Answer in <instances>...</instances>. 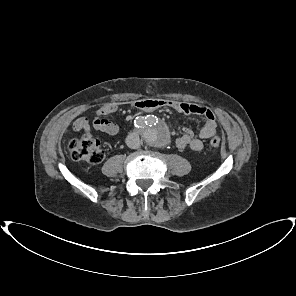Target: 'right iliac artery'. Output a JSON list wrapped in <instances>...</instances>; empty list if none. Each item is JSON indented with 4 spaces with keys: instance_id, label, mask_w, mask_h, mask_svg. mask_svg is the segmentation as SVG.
<instances>
[{
    "instance_id": "1",
    "label": "right iliac artery",
    "mask_w": 296,
    "mask_h": 296,
    "mask_svg": "<svg viewBox=\"0 0 296 296\" xmlns=\"http://www.w3.org/2000/svg\"><path fill=\"white\" fill-rule=\"evenodd\" d=\"M143 125V120L142 119H138L137 121H135V126L140 128Z\"/></svg>"
}]
</instances>
